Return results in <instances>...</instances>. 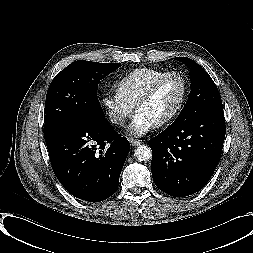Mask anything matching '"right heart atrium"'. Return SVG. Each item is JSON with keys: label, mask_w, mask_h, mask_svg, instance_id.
Wrapping results in <instances>:
<instances>
[{"label": "right heart atrium", "mask_w": 253, "mask_h": 253, "mask_svg": "<svg viewBox=\"0 0 253 253\" xmlns=\"http://www.w3.org/2000/svg\"><path fill=\"white\" fill-rule=\"evenodd\" d=\"M101 105L109 122L118 127H123L134 111V106L125 101L117 92L106 94L101 99Z\"/></svg>", "instance_id": "1"}]
</instances>
